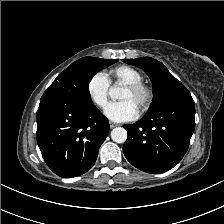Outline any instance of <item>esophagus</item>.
<instances>
[{"label":"esophagus","mask_w":224,"mask_h":224,"mask_svg":"<svg viewBox=\"0 0 224 224\" xmlns=\"http://www.w3.org/2000/svg\"><path fill=\"white\" fill-rule=\"evenodd\" d=\"M109 125H110V128H111V129H113V128L119 126V124H117V123H113V122H110Z\"/></svg>","instance_id":"obj_1"}]
</instances>
